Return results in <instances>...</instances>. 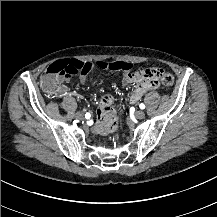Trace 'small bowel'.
<instances>
[{"mask_svg": "<svg viewBox=\"0 0 217 217\" xmlns=\"http://www.w3.org/2000/svg\"><path fill=\"white\" fill-rule=\"evenodd\" d=\"M131 69V68H130ZM81 82L85 81V76L82 75L80 77ZM66 79L62 78L60 83L63 84ZM138 82L135 74L130 72V70L124 73L122 78V86L127 87L131 84ZM61 90L67 91L66 88H62ZM152 93V87L149 84L140 85L138 84L134 87L132 92L128 97V101L130 104H135L139 101V99L144 96H149ZM114 98L111 94H103L99 97L97 102V108L95 110L96 128L93 129L94 133L101 132L106 134H113L119 128V121L116 118V110L112 105Z\"/></svg>", "mask_w": 217, "mask_h": 217, "instance_id": "c3829d8e", "label": "small bowel"}]
</instances>
